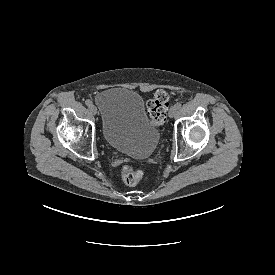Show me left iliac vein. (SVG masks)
<instances>
[{
	"label": "left iliac vein",
	"instance_id": "obj_1",
	"mask_svg": "<svg viewBox=\"0 0 275 275\" xmlns=\"http://www.w3.org/2000/svg\"><path fill=\"white\" fill-rule=\"evenodd\" d=\"M169 117L173 118L176 114V108L174 106H172L170 109H169Z\"/></svg>",
	"mask_w": 275,
	"mask_h": 275
}]
</instances>
